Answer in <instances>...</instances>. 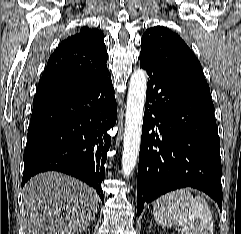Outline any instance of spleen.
Wrapping results in <instances>:
<instances>
[{
	"mask_svg": "<svg viewBox=\"0 0 241 234\" xmlns=\"http://www.w3.org/2000/svg\"><path fill=\"white\" fill-rule=\"evenodd\" d=\"M155 220L164 227L181 226L184 234H213L210 207L201 196L193 197L188 189L162 195L153 205Z\"/></svg>",
	"mask_w": 241,
	"mask_h": 234,
	"instance_id": "1",
	"label": "spleen"
}]
</instances>
